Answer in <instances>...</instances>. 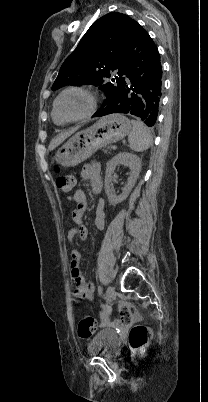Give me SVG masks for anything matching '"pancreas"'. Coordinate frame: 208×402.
Returning a JSON list of instances; mask_svg holds the SVG:
<instances>
[{
    "label": "pancreas",
    "instance_id": "cf45deb5",
    "mask_svg": "<svg viewBox=\"0 0 208 402\" xmlns=\"http://www.w3.org/2000/svg\"><path fill=\"white\" fill-rule=\"evenodd\" d=\"M107 150H112V146H107L106 150L104 152H107Z\"/></svg>",
    "mask_w": 208,
    "mask_h": 402
}]
</instances>
